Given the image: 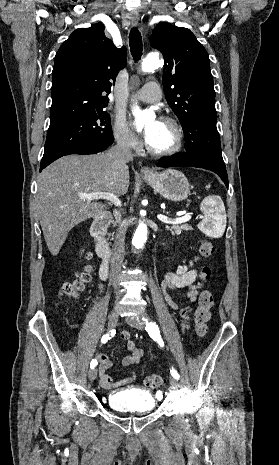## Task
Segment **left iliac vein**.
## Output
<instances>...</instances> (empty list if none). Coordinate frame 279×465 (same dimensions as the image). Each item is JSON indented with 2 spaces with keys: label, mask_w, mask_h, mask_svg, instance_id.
Here are the masks:
<instances>
[{
  "label": "left iliac vein",
  "mask_w": 279,
  "mask_h": 465,
  "mask_svg": "<svg viewBox=\"0 0 279 465\" xmlns=\"http://www.w3.org/2000/svg\"><path fill=\"white\" fill-rule=\"evenodd\" d=\"M125 320L130 326H132V327H134V328H136L138 330H143L144 329V323L142 322V320L138 316L127 317ZM169 382H170L172 390H176L178 388V380L176 378L171 376L169 378Z\"/></svg>",
  "instance_id": "4c4485c4"
}]
</instances>
